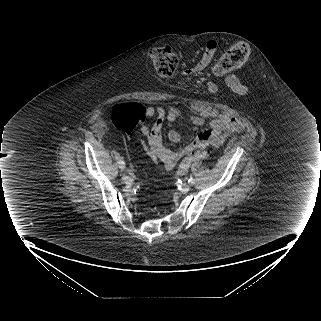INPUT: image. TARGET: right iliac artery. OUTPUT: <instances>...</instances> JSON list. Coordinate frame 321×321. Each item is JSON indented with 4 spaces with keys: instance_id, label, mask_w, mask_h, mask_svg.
<instances>
[{
    "instance_id": "82829eb1",
    "label": "right iliac artery",
    "mask_w": 321,
    "mask_h": 321,
    "mask_svg": "<svg viewBox=\"0 0 321 321\" xmlns=\"http://www.w3.org/2000/svg\"><path fill=\"white\" fill-rule=\"evenodd\" d=\"M119 167L121 168V170L125 169V162L123 160H119Z\"/></svg>"
}]
</instances>
